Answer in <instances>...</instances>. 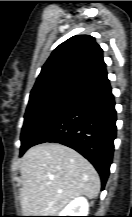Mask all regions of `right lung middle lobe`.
I'll return each mask as SVG.
<instances>
[{
	"instance_id": "dd1d6c3e",
	"label": "right lung middle lobe",
	"mask_w": 132,
	"mask_h": 217,
	"mask_svg": "<svg viewBox=\"0 0 132 217\" xmlns=\"http://www.w3.org/2000/svg\"><path fill=\"white\" fill-rule=\"evenodd\" d=\"M77 96L67 91H55L30 97L21 132L20 156Z\"/></svg>"
}]
</instances>
